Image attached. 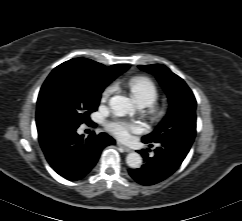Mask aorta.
Segmentation results:
<instances>
[{"label": "aorta", "instance_id": "1", "mask_svg": "<svg viewBox=\"0 0 242 221\" xmlns=\"http://www.w3.org/2000/svg\"><path fill=\"white\" fill-rule=\"evenodd\" d=\"M109 105L113 111L120 114H126L133 111L132 101L125 96H113L109 101ZM126 163L130 168H139L142 165V157L137 152H131L126 156Z\"/></svg>", "mask_w": 242, "mask_h": 221}]
</instances>
